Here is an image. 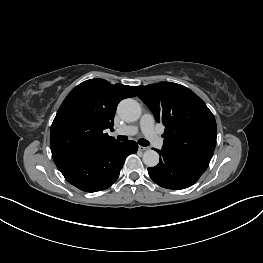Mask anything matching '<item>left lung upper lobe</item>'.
<instances>
[{
  "instance_id": "1",
  "label": "left lung upper lobe",
  "mask_w": 263,
  "mask_h": 263,
  "mask_svg": "<svg viewBox=\"0 0 263 263\" xmlns=\"http://www.w3.org/2000/svg\"><path fill=\"white\" fill-rule=\"evenodd\" d=\"M132 88L153 112L156 121L165 126L163 150L210 162L216 145V121L194 92L170 82Z\"/></svg>"
}]
</instances>
